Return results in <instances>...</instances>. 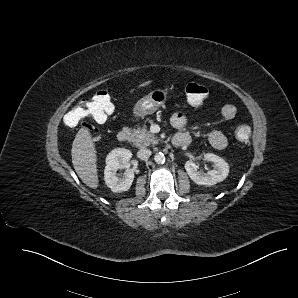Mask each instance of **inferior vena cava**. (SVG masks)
<instances>
[{
  "instance_id": "602c4592",
  "label": "inferior vena cava",
  "mask_w": 298,
  "mask_h": 298,
  "mask_svg": "<svg viewBox=\"0 0 298 298\" xmlns=\"http://www.w3.org/2000/svg\"><path fill=\"white\" fill-rule=\"evenodd\" d=\"M151 156V151L147 148H142L137 152V157L141 160L148 159Z\"/></svg>"
}]
</instances>
